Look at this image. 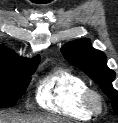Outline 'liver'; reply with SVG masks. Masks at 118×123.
<instances>
[{"mask_svg":"<svg viewBox=\"0 0 118 123\" xmlns=\"http://www.w3.org/2000/svg\"><path fill=\"white\" fill-rule=\"evenodd\" d=\"M0 123H69V121L47 114L23 116L17 113H0Z\"/></svg>","mask_w":118,"mask_h":123,"instance_id":"1","label":"liver"}]
</instances>
